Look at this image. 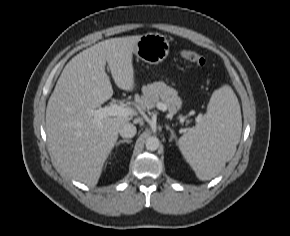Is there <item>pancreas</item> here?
I'll return each mask as SVG.
<instances>
[{
  "label": "pancreas",
  "mask_w": 290,
  "mask_h": 236,
  "mask_svg": "<svg viewBox=\"0 0 290 236\" xmlns=\"http://www.w3.org/2000/svg\"><path fill=\"white\" fill-rule=\"evenodd\" d=\"M142 93L143 95L137 101L141 111L150 110L159 102L164 103L171 114L177 113L181 108L182 101L178 97V92L162 81L144 86Z\"/></svg>",
  "instance_id": "cf45deb5"
}]
</instances>
